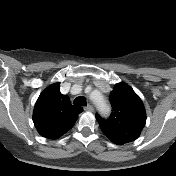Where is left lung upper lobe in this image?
Segmentation results:
<instances>
[{
    "instance_id": "1",
    "label": "left lung upper lobe",
    "mask_w": 176,
    "mask_h": 176,
    "mask_svg": "<svg viewBox=\"0 0 176 176\" xmlns=\"http://www.w3.org/2000/svg\"><path fill=\"white\" fill-rule=\"evenodd\" d=\"M109 99L113 107L109 119L103 120L96 114L102 132L117 145L137 139L146 123L141 99L125 83L116 84Z\"/></svg>"
}]
</instances>
